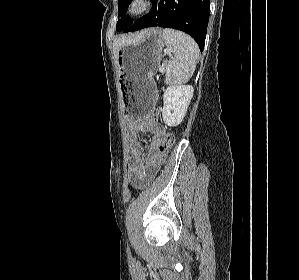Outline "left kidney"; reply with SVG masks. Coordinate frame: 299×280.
<instances>
[{
	"instance_id": "obj_1",
	"label": "left kidney",
	"mask_w": 299,
	"mask_h": 280,
	"mask_svg": "<svg viewBox=\"0 0 299 280\" xmlns=\"http://www.w3.org/2000/svg\"><path fill=\"white\" fill-rule=\"evenodd\" d=\"M194 89L191 85H173L164 91L162 118L166 125H179L187 112Z\"/></svg>"
}]
</instances>
